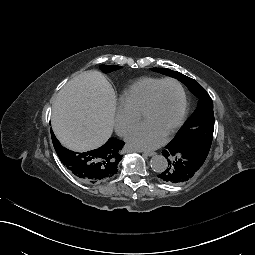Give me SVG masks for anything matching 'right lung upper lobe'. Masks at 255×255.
Instances as JSON below:
<instances>
[{"instance_id": "right-lung-upper-lobe-1", "label": "right lung upper lobe", "mask_w": 255, "mask_h": 255, "mask_svg": "<svg viewBox=\"0 0 255 255\" xmlns=\"http://www.w3.org/2000/svg\"><path fill=\"white\" fill-rule=\"evenodd\" d=\"M53 146L62 163L79 179L86 183H103L111 179L116 173L118 163L122 155L124 142L116 138H110L102 147L84 153H75L63 147L51 134ZM90 154L99 161L100 176L87 179L83 176V157Z\"/></svg>"}]
</instances>
